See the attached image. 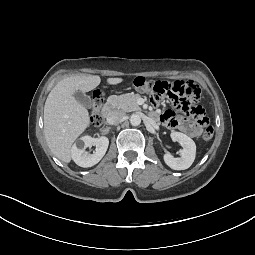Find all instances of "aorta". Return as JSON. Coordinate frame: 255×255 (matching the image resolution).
<instances>
[{
    "instance_id": "aorta-1",
    "label": "aorta",
    "mask_w": 255,
    "mask_h": 255,
    "mask_svg": "<svg viewBox=\"0 0 255 255\" xmlns=\"http://www.w3.org/2000/svg\"><path fill=\"white\" fill-rule=\"evenodd\" d=\"M129 120L132 126H138L141 123V118L138 114H132Z\"/></svg>"
}]
</instances>
